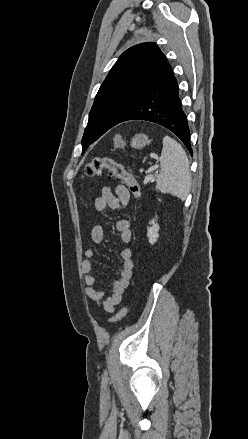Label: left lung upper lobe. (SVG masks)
Segmentation results:
<instances>
[{
    "label": "left lung upper lobe",
    "instance_id": "obj_1",
    "mask_svg": "<svg viewBox=\"0 0 248 439\" xmlns=\"http://www.w3.org/2000/svg\"><path fill=\"white\" fill-rule=\"evenodd\" d=\"M169 65L155 43L126 50L102 83L89 113L82 150L117 125L149 90Z\"/></svg>",
    "mask_w": 248,
    "mask_h": 439
}]
</instances>
